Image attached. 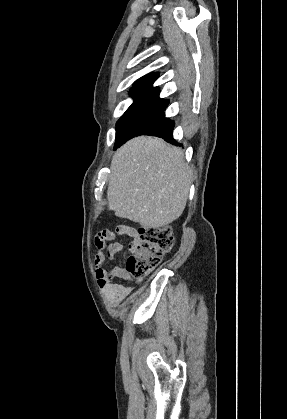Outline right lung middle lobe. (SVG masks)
I'll use <instances>...</instances> for the list:
<instances>
[{
  "mask_svg": "<svg viewBox=\"0 0 287 419\" xmlns=\"http://www.w3.org/2000/svg\"><path fill=\"white\" fill-rule=\"evenodd\" d=\"M165 108L166 106L128 109L116 124L114 149L139 135L155 121L162 118L165 115Z\"/></svg>",
  "mask_w": 287,
  "mask_h": 419,
  "instance_id": "dd1d6c3e",
  "label": "right lung middle lobe"
}]
</instances>
